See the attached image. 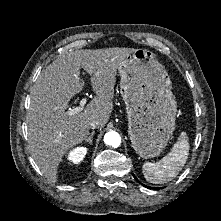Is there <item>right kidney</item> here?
<instances>
[{
  "label": "right kidney",
  "instance_id": "obj_1",
  "mask_svg": "<svg viewBox=\"0 0 221 221\" xmlns=\"http://www.w3.org/2000/svg\"><path fill=\"white\" fill-rule=\"evenodd\" d=\"M86 153H87L86 147H77L72 151H70L67 159L75 164H78L83 160Z\"/></svg>",
  "mask_w": 221,
  "mask_h": 221
}]
</instances>
